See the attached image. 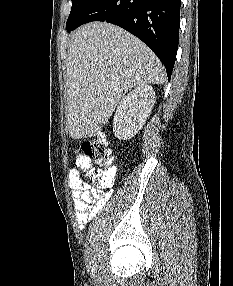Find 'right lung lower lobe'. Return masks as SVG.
<instances>
[{
	"label": "right lung lower lobe",
	"instance_id": "right-lung-lower-lobe-1",
	"mask_svg": "<svg viewBox=\"0 0 233 286\" xmlns=\"http://www.w3.org/2000/svg\"><path fill=\"white\" fill-rule=\"evenodd\" d=\"M180 5L181 0H90L67 30L91 21L116 24L154 51L170 79L178 48Z\"/></svg>",
	"mask_w": 233,
	"mask_h": 286
}]
</instances>
